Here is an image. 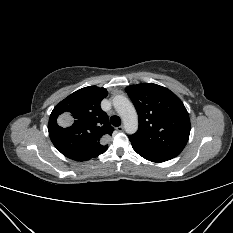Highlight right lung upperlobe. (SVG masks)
Here are the masks:
<instances>
[{"instance_id":"1","label":"right lung upper lobe","mask_w":233,"mask_h":233,"mask_svg":"<svg viewBox=\"0 0 233 233\" xmlns=\"http://www.w3.org/2000/svg\"><path fill=\"white\" fill-rule=\"evenodd\" d=\"M107 90L96 86L82 88L52 111L48 131L54 146L66 157L85 161L104 153L114 128L100 102Z\"/></svg>"}]
</instances>
